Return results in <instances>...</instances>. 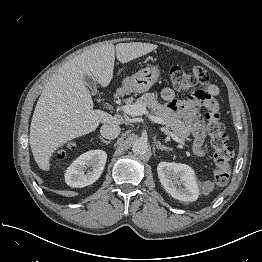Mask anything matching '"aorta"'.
Returning a JSON list of instances; mask_svg holds the SVG:
<instances>
[{"instance_id": "762f6f07", "label": "aorta", "mask_w": 262, "mask_h": 262, "mask_svg": "<svg viewBox=\"0 0 262 262\" xmlns=\"http://www.w3.org/2000/svg\"><path fill=\"white\" fill-rule=\"evenodd\" d=\"M132 150L135 154L143 155L148 150V143L144 139H138L133 142Z\"/></svg>"}]
</instances>
